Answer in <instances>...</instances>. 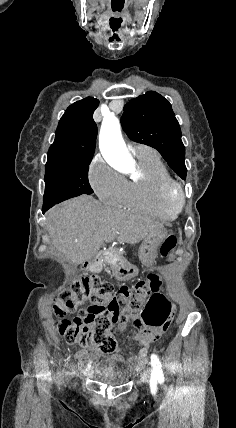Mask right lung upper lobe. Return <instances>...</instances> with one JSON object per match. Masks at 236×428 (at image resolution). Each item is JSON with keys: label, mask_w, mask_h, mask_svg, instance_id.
<instances>
[{"label": "right lung upper lobe", "mask_w": 236, "mask_h": 428, "mask_svg": "<svg viewBox=\"0 0 236 428\" xmlns=\"http://www.w3.org/2000/svg\"><path fill=\"white\" fill-rule=\"evenodd\" d=\"M99 100L87 97L70 105L59 121L48 159H81L94 155L97 125L93 112Z\"/></svg>", "instance_id": "right-lung-upper-lobe-1"}]
</instances>
